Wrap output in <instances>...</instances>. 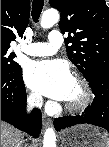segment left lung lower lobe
<instances>
[{"label":"left lung lower lobe","instance_id":"obj_1","mask_svg":"<svg viewBox=\"0 0 109 147\" xmlns=\"http://www.w3.org/2000/svg\"><path fill=\"white\" fill-rule=\"evenodd\" d=\"M95 95L93 103L81 116H64L54 121L57 131L80 123L105 128L109 132V70H100L89 81Z\"/></svg>","mask_w":109,"mask_h":147}]
</instances>
